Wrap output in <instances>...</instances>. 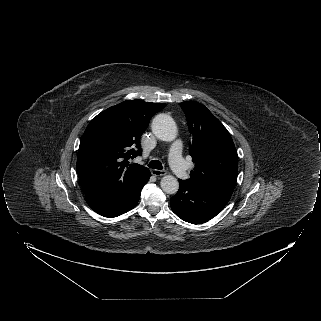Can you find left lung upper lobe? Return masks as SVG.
Instances as JSON below:
<instances>
[{"mask_svg": "<svg viewBox=\"0 0 321 321\" xmlns=\"http://www.w3.org/2000/svg\"><path fill=\"white\" fill-rule=\"evenodd\" d=\"M192 135L190 155L195 163L190 178L193 185L233 190L238 175V155L224 125L202 104H180Z\"/></svg>", "mask_w": 321, "mask_h": 321, "instance_id": "1", "label": "left lung upper lobe"}]
</instances>
